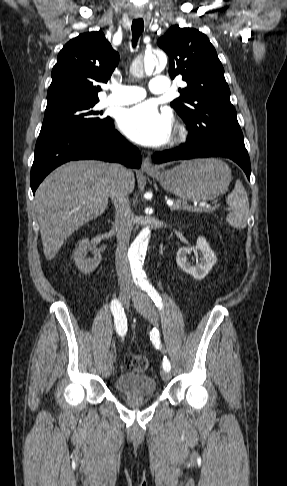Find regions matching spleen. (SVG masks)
<instances>
[{
    "label": "spleen",
    "instance_id": "spleen-1",
    "mask_svg": "<svg viewBox=\"0 0 287 486\" xmlns=\"http://www.w3.org/2000/svg\"><path fill=\"white\" fill-rule=\"evenodd\" d=\"M226 203L231 208L226 217L229 225L236 229L245 228L249 217V200L240 180H236L234 190L227 196Z\"/></svg>",
    "mask_w": 287,
    "mask_h": 486
}]
</instances>
